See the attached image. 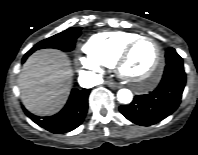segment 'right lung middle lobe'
<instances>
[{
  "mask_svg": "<svg viewBox=\"0 0 198 155\" xmlns=\"http://www.w3.org/2000/svg\"><path fill=\"white\" fill-rule=\"evenodd\" d=\"M81 34V27L67 29L59 34L49 37L37 43L26 54L30 55L34 51L42 48H56L62 51H71L75 46L76 39Z\"/></svg>",
  "mask_w": 198,
  "mask_h": 155,
  "instance_id": "1",
  "label": "right lung middle lobe"
}]
</instances>
